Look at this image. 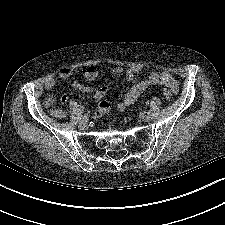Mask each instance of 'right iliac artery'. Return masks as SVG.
<instances>
[{
	"mask_svg": "<svg viewBox=\"0 0 225 225\" xmlns=\"http://www.w3.org/2000/svg\"><path fill=\"white\" fill-rule=\"evenodd\" d=\"M88 119H89V115L88 114H85L80 120L87 122Z\"/></svg>",
	"mask_w": 225,
	"mask_h": 225,
	"instance_id": "right-iliac-artery-1",
	"label": "right iliac artery"
}]
</instances>
